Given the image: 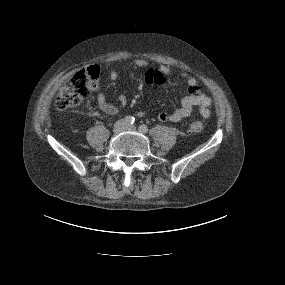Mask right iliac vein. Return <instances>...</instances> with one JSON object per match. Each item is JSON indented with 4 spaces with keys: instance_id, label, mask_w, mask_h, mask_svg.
Returning a JSON list of instances; mask_svg holds the SVG:
<instances>
[{
    "instance_id": "right-iliac-vein-1",
    "label": "right iliac vein",
    "mask_w": 285,
    "mask_h": 285,
    "mask_svg": "<svg viewBox=\"0 0 285 285\" xmlns=\"http://www.w3.org/2000/svg\"><path fill=\"white\" fill-rule=\"evenodd\" d=\"M126 127V122L124 120H119L114 124L113 130L115 133H119Z\"/></svg>"
}]
</instances>
